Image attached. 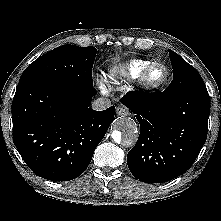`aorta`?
I'll list each match as a JSON object with an SVG mask.
<instances>
[{"label":"aorta","instance_id":"obj_1","mask_svg":"<svg viewBox=\"0 0 221 221\" xmlns=\"http://www.w3.org/2000/svg\"><path fill=\"white\" fill-rule=\"evenodd\" d=\"M139 136L138 123L131 117H119L115 121L112 138L117 144L125 147L133 146Z\"/></svg>","mask_w":221,"mask_h":221}]
</instances>
